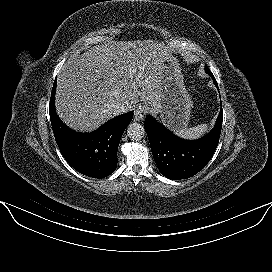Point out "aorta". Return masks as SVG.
Wrapping results in <instances>:
<instances>
[{"instance_id":"obj_1","label":"aorta","mask_w":272,"mask_h":272,"mask_svg":"<svg viewBox=\"0 0 272 272\" xmlns=\"http://www.w3.org/2000/svg\"><path fill=\"white\" fill-rule=\"evenodd\" d=\"M127 135L133 141H139L145 136L144 127L137 123H131L127 128Z\"/></svg>"}]
</instances>
